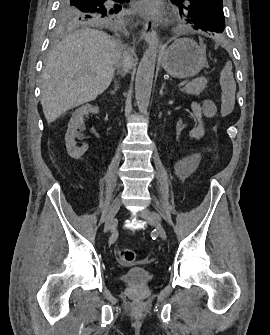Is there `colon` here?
Segmentation results:
<instances>
[{"label": "colon", "mask_w": 270, "mask_h": 335, "mask_svg": "<svg viewBox=\"0 0 270 335\" xmlns=\"http://www.w3.org/2000/svg\"><path fill=\"white\" fill-rule=\"evenodd\" d=\"M225 69H232V62H225ZM222 92L219 98V109H222V116H233V109H236L235 102V83L232 72L220 73ZM118 259L122 264L131 263L135 259V252L128 248H119L117 251Z\"/></svg>", "instance_id": "obj_1"}]
</instances>
